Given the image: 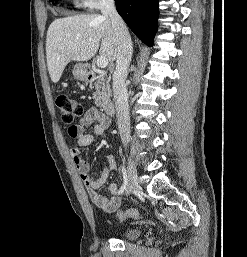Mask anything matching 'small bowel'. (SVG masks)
<instances>
[{"instance_id":"1","label":"small bowel","mask_w":247,"mask_h":257,"mask_svg":"<svg viewBox=\"0 0 247 257\" xmlns=\"http://www.w3.org/2000/svg\"><path fill=\"white\" fill-rule=\"evenodd\" d=\"M90 125H93V131L92 133H86L85 129ZM108 126V119L98 109L91 107L84 112L78 124L68 128V134L71 138L77 140V146L71 149V157L79 172L80 178L87 188L91 202L104 212L112 213L120 206V189L116 184H110L109 191L111 195L108 197L99 194L98 189L106 183L110 174L115 169L113 156L111 154L106 156L108 164L103 167L98 176L93 177L89 175V166L81 154V149L90 145L95 136L102 135Z\"/></svg>"}]
</instances>
